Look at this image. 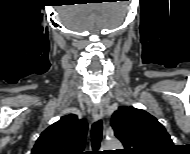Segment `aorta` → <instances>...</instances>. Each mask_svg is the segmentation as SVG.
<instances>
[{"label":"aorta","instance_id":"obj_1","mask_svg":"<svg viewBox=\"0 0 190 154\" xmlns=\"http://www.w3.org/2000/svg\"><path fill=\"white\" fill-rule=\"evenodd\" d=\"M121 147H122V144L118 139L106 140L101 146L103 150H116V149H120Z\"/></svg>","mask_w":190,"mask_h":154}]
</instances>
